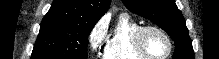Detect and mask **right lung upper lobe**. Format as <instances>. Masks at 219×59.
Instances as JSON below:
<instances>
[{
  "label": "right lung upper lobe",
  "mask_w": 219,
  "mask_h": 59,
  "mask_svg": "<svg viewBox=\"0 0 219 59\" xmlns=\"http://www.w3.org/2000/svg\"><path fill=\"white\" fill-rule=\"evenodd\" d=\"M111 0H54L44 19L95 23L107 12Z\"/></svg>",
  "instance_id": "1"
}]
</instances>
